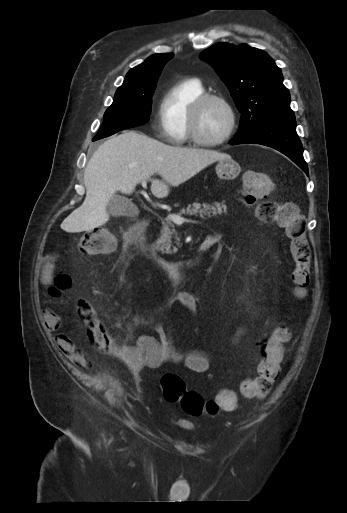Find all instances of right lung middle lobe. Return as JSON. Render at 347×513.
Returning a JSON list of instances; mask_svg holds the SVG:
<instances>
[{
  "label": "right lung middle lobe",
  "instance_id": "obj_1",
  "mask_svg": "<svg viewBox=\"0 0 347 513\" xmlns=\"http://www.w3.org/2000/svg\"><path fill=\"white\" fill-rule=\"evenodd\" d=\"M156 83L139 88H119L94 141L118 131L142 125L149 120Z\"/></svg>",
  "mask_w": 347,
  "mask_h": 513
}]
</instances>
